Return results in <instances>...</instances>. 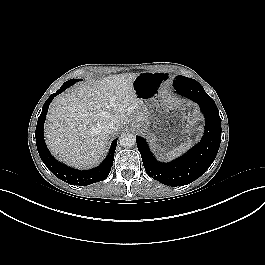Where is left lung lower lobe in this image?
<instances>
[{
    "label": "left lung lower lobe",
    "instance_id": "obj_1",
    "mask_svg": "<svg viewBox=\"0 0 265 265\" xmlns=\"http://www.w3.org/2000/svg\"><path fill=\"white\" fill-rule=\"evenodd\" d=\"M178 94L192 99L205 116V132L201 141L186 154L169 163L158 162L144 138L137 136V147L148 176L171 187L183 186L199 178L212 164L221 142V119L214 100L194 79H176Z\"/></svg>",
    "mask_w": 265,
    "mask_h": 265
}]
</instances>
